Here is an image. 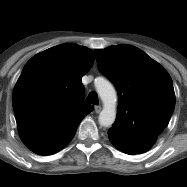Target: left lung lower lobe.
Masks as SVG:
<instances>
[{
  "mask_svg": "<svg viewBox=\"0 0 187 187\" xmlns=\"http://www.w3.org/2000/svg\"><path fill=\"white\" fill-rule=\"evenodd\" d=\"M108 136L112 144L117 149L127 154L143 153L150 149L157 140L156 139L155 141H151L150 137L141 134L110 130L108 131ZM133 136L139 137L143 139V141L141 143L132 141L131 137Z\"/></svg>",
  "mask_w": 187,
  "mask_h": 187,
  "instance_id": "left-lung-lower-lobe-1",
  "label": "left lung lower lobe"
}]
</instances>
